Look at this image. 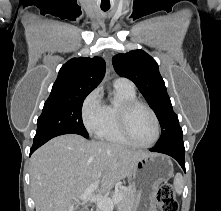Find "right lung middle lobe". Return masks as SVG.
<instances>
[{
	"instance_id": "dd1d6c3e",
	"label": "right lung middle lobe",
	"mask_w": 221,
	"mask_h": 211,
	"mask_svg": "<svg viewBox=\"0 0 221 211\" xmlns=\"http://www.w3.org/2000/svg\"><path fill=\"white\" fill-rule=\"evenodd\" d=\"M87 95L49 96L42 114L38 117L34 139L66 133L79 134L88 138L81 116L82 104Z\"/></svg>"
}]
</instances>
